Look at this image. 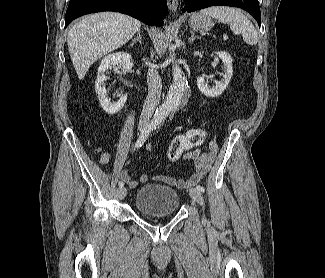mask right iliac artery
<instances>
[{
	"mask_svg": "<svg viewBox=\"0 0 325 278\" xmlns=\"http://www.w3.org/2000/svg\"><path fill=\"white\" fill-rule=\"evenodd\" d=\"M154 128H155V125H153V124H149V125H147V126L143 129L142 133L140 134V136H139V138H138V140H137V142H136V144H135V148H139V147H141V146L144 144V142L146 141V139L148 138L149 134L151 133V131H152ZM118 185H119L120 187H122V186L124 185V183H123L122 181H120V182L118 183Z\"/></svg>",
	"mask_w": 325,
	"mask_h": 278,
	"instance_id": "obj_1",
	"label": "right iliac artery"
}]
</instances>
